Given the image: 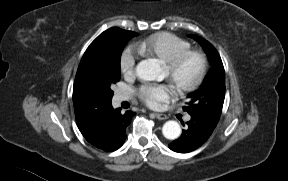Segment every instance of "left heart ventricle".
Listing matches in <instances>:
<instances>
[{
	"instance_id": "obj_1",
	"label": "left heart ventricle",
	"mask_w": 288,
	"mask_h": 181,
	"mask_svg": "<svg viewBox=\"0 0 288 181\" xmlns=\"http://www.w3.org/2000/svg\"><path fill=\"white\" fill-rule=\"evenodd\" d=\"M199 69V62L196 58H189L186 60L182 66L177 70L175 76L173 79V83L180 84V83H187L191 81L198 73ZM164 74L165 76H168V71L166 67L164 68Z\"/></svg>"
}]
</instances>
